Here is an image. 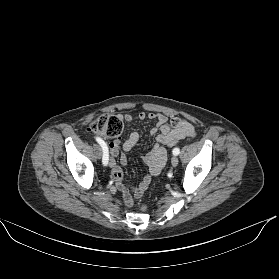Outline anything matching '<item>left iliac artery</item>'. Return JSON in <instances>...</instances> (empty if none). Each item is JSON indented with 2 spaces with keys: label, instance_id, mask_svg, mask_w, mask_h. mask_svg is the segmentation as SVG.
Wrapping results in <instances>:
<instances>
[{
  "label": "left iliac artery",
  "instance_id": "44dca946",
  "mask_svg": "<svg viewBox=\"0 0 279 279\" xmlns=\"http://www.w3.org/2000/svg\"><path fill=\"white\" fill-rule=\"evenodd\" d=\"M172 152H173L174 155H178L180 153V149L179 148H174Z\"/></svg>",
  "mask_w": 279,
  "mask_h": 279
}]
</instances>
